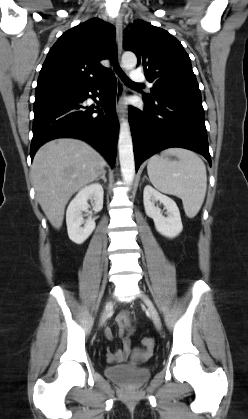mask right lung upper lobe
<instances>
[{
	"label": "right lung upper lobe",
	"mask_w": 248,
	"mask_h": 419,
	"mask_svg": "<svg viewBox=\"0 0 248 419\" xmlns=\"http://www.w3.org/2000/svg\"><path fill=\"white\" fill-rule=\"evenodd\" d=\"M114 32L113 25L93 18L63 33L42 65L35 95L77 91L101 81L111 71L100 61L110 57Z\"/></svg>",
	"instance_id": "right-lung-upper-lobe-1"
}]
</instances>
